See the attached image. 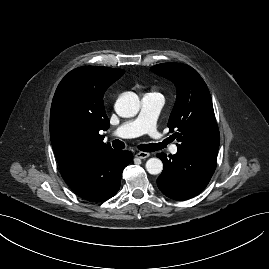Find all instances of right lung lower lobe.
<instances>
[{"mask_svg":"<svg viewBox=\"0 0 269 269\" xmlns=\"http://www.w3.org/2000/svg\"><path fill=\"white\" fill-rule=\"evenodd\" d=\"M132 157L130 151L113 150L62 170L61 174L77 195L89 201L100 202L117 193L122 172Z\"/></svg>","mask_w":269,"mask_h":269,"instance_id":"right-lung-lower-lobe-1","label":"right lung lower lobe"}]
</instances>
